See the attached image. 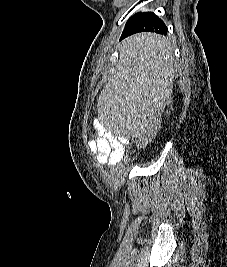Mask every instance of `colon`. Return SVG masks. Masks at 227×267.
Segmentation results:
<instances>
[{
  "mask_svg": "<svg viewBox=\"0 0 227 267\" xmlns=\"http://www.w3.org/2000/svg\"><path fill=\"white\" fill-rule=\"evenodd\" d=\"M162 117V113H160V115H154V123L150 125V129L144 130V135L142 136V139H138V142H136L134 145L135 149H132L131 153L126 155L127 165L136 164L137 158H140L143 152H146L148 144L151 143V140L155 139L157 131L162 130ZM127 170H130V167H127Z\"/></svg>",
  "mask_w": 227,
  "mask_h": 267,
  "instance_id": "colon-1",
  "label": "colon"
}]
</instances>
